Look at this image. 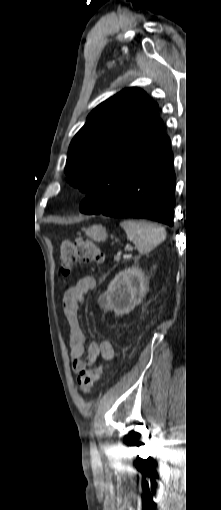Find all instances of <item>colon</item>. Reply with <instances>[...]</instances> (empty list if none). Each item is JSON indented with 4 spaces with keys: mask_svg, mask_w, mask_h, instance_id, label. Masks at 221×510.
Segmentation results:
<instances>
[{
    "mask_svg": "<svg viewBox=\"0 0 221 510\" xmlns=\"http://www.w3.org/2000/svg\"><path fill=\"white\" fill-rule=\"evenodd\" d=\"M103 260L102 252L86 238L64 241L59 248V265L62 274L70 273L76 263H92ZM107 365H100L95 370L81 371L78 374V386L84 394H89L94 384L107 370Z\"/></svg>",
    "mask_w": 221,
    "mask_h": 510,
    "instance_id": "colon-1",
    "label": "colon"
}]
</instances>
